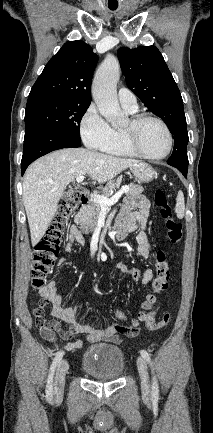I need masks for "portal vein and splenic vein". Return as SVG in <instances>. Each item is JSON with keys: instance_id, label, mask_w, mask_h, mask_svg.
I'll use <instances>...</instances> for the list:
<instances>
[{"instance_id": "obj_1", "label": "portal vein and splenic vein", "mask_w": 213, "mask_h": 433, "mask_svg": "<svg viewBox=\"0 0 213 433\" xmlns=\"http://www.w3.org/2000/svg\"><path fill=\"white\" fill-rule=\"evenodd\" d=\"M84 180V176H78L76 178L77 183H82ZM129 191V187L128 186H123L119 191H117L112 197L108 198L105 197L103 195H98V194H94L91 195V197L93 198L94 201H96L98 204H100L101 207L103 208H108L111 207L112 205H114L119 198L124 194L127 193Z\"/></svg>"}]
</instances>
